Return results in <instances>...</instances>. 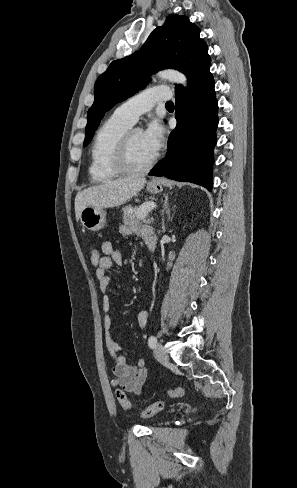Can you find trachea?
Returning a JSON list of instances; mask_svg holds the SVG:
<instances>
[{"label": "trachea", "instance_id": "trachea-1", "mask_svg": "<svg viewBox=\"0 0 297 488\" xmlns=\"http://www.w3.org/2000/svg\"><path fill=\"white\" fill-rule=\"evenodd\" d=\"M166 107H174L173 102H172V101H168V102L166 103Z\"/></svg>", "mask_w": 297, "mask_h": 488}]
</instances>
